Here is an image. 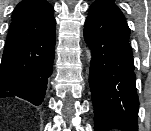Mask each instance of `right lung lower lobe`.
I'll return each instance as SVG.
<instances>
[{
  "label": "right lung lower lobe",
  "instance_id": "right-lung-lower-lobe-1",
  "mask_svg": "<svg viewBox=\"0 0 151 131\" xmlns=\"http://www.w3.org/2000/svg\"><path fill=\"white\" fill-rule=\"evenodd\" d=\"M54 48L48 60L35 72L10 85H0V98L20 97L39 106L44 99L48 78L52 73Z\"/></svg>",
  "mask_w": 151,
  "mask_h": 131
}]
</instances>
